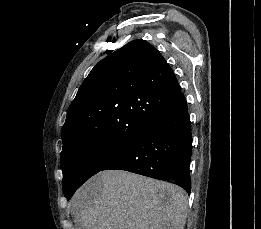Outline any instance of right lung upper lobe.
I'll list each match as a JSON object with an SVG mask.
<instances>
[{
	"label": "right lung upper lobe",
	"instance_id": "right-lung-upper-lobe-1",
	"mask_svg": "<svg viewBox=\"0 0 261 229\" xmlns=\"http://www.w3.org/2000/svg\"><path fill=\"white\" fill-rule=\"evenodd\" d=\"M181 93L160 52L134 40L101 60L80 86L61 130L63 146L81 139L133 141Z\"/></svg>",
	"mask_w": 261,
	"mask_h": 229
}]
</instances>
